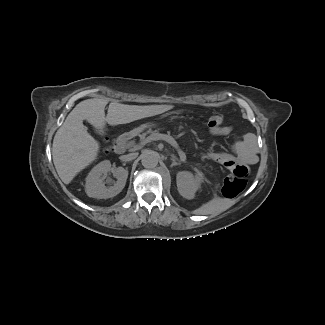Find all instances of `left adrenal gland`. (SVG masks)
I'll return each instance as SVG.
<instances>
[{
    "label": "left adrenal gland",
    "instance_id": "a2214340",
    "mask_svg": "<svg viewBox=\"0 0 325 325\" xmlns=\"http://www.w3.org/2000/svg\"><path fill=\"white\" fill-rule=\"evenodd\" d=\"M171 160H172L171 167L177 166L181 163V161L180 160L178 161V159L174 155H171Z\"/></svg>",
    "mask_w": 325,
    "mask_h": 325
}]
</instances>
